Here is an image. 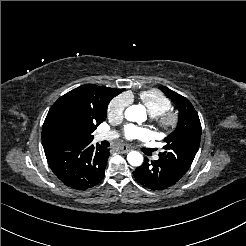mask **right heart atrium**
<instances>
[{
    "mask_svg": "<svg viewBox=\"0 0 246 246\" xmlns=\"http://www.w3.org/2000/svg\"><path fill=\"white\" fill-rule=\"evenodd\" d=\"M130 104V98L127 94H120L113 98L107 107V114L110 120L116 121L124 116L127 107Z\"/></svg>",
    "mask_w": 246,
    "mask_h": 246,
    "instance_id": "right-heart-atrium-1",
    "label": "right heart atrium"
}]
</instances>
